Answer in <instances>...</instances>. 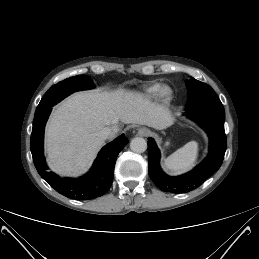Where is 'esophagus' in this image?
Segmentation results:
<instances>
[{"label": "esophagus", "mask_w": 259, "mask_h": 259, "mask_svg": "<svg viewBox=\"0 0 259 259\" xmlns=\"http://www.w3.org/2000/svg\"><path fill=\"white\" fill-rule=\"evenodd\" d=\"M149 133H150V130L146 127H141L138 129V135H140L142 137L149 135Z\"/></svg>", "instance_id": "34e87169"}]
</instances>
